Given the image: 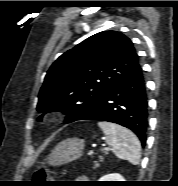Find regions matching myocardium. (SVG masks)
<instances>
[{"label":"myocardium","mask_w":178,"mask_h":186,"mask_svg":"<svg viewBox=\"0 0 178 186\" xmlns=\"http://www.w3.org/2000/svg\"><path fill=\"white\" fill-rule=\"evenodd\" d=\"M61 118V114L58 111H53L51 113H49L46 117H45V121L49 124H54L56 122H58Z\"/></svg>","instance_id":"obj_1"}]
</instances>
